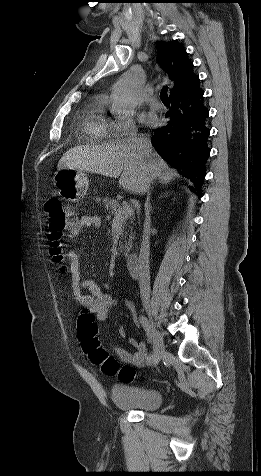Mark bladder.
Wrapping results in <instances>:
<instances>
[{"mask_svg": "<svg viewBox=\"0 0 261 476\" xmlns=\"http://www.w3.org/2000/svg\"><path fill=\"white\" fill-rule=\"evenodd\" d=\"M113 403L123 410H137L143 412L158 409L163 400L158 389L143 388L128 384H116L110 392Z\"/></svg>", "mask_w": 261, "mask_h": 476, "instance_id": "31cf9c89", "label": "bladder"}]
</instances>
